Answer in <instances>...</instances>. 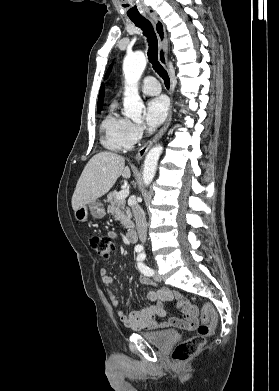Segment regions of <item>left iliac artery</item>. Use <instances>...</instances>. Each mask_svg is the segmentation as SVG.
<instances>
[{"label": "left iliac artery", "mask_w": 279, "mask_h": 391, "mask_svg": "<svg viewBox=\"0 0 279 391\" xmlns=\"http://www.w3.org/2000/svg\"><path fill=\"white\" fill-rule=\"evenodd\" d=\"M146 258V255L145 253H140L138 256H137V265H138V268L139 270L141 271V273H143L144 275L146 276H152L154 271L149 268L145 263H144V260Z\"/></svg>", "instance_id": "1"}]
</instances>
